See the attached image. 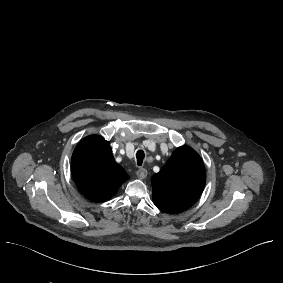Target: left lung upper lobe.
Here are the masks:
<instances>
[{"label":"left lung upper lobe","mask_w":283,"mask_h":283,"mask_svg":"<svg viewBox=\"0 0 283 283\" xmlns=\"http://www.w3.org/2000/svg\"><path fill=\"white\" fill-rule=\"evenodd\" d=\"M206 181L204 164L190 147L177 148L152 178L153 202L163 212H181L195 203Z\"/></svg>","instance_id":"1"}]
</instances>
